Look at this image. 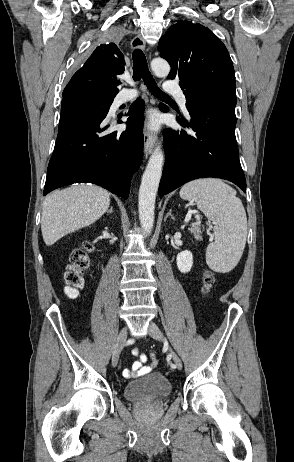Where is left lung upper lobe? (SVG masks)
Segmentation results:
<instances>
[{"label": "left lung upper lobe", "instance_id": "5c2ea615", "mask_svg": "<svg viewBox=\"0 0 294 462\" xmlns=\"http://www.w3.org/2000/svg\"><path fill=\"white\" fill-rule=\"evenodd\" d=\"M158 50L171 65L168 78L180 79L187 108L215 97L236 102L232 60L225 45L208 28L181 20L162 36Z\"/></svg>", "mask_w": 294, "mask_h": 462}]
</instances>
